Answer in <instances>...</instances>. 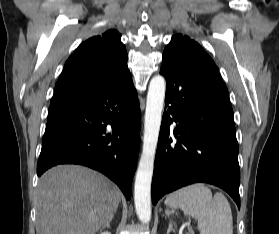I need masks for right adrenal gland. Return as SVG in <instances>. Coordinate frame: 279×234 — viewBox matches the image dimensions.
I'll use <instances>...</instances> for the list:
<instances>
[{"label":"right adrenal gland","mask_w":279,"mask_h":234,"mask_svg":"<svg viewBox=\"0 0 279 234\" xmlns=\"http://www.w3.org/2000/svg\"><path fill=\"white\" fill-rule=\"evenodd\" d=\"M113 217H114V214L110 217V219L106 222V224L104 225V227H110V223H111V221H112V219H113Z\"/></svg>","instance_id":"obj_1"}]
</instances>
